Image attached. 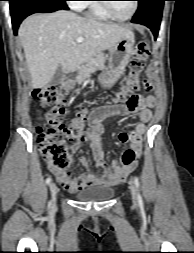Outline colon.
Wrapping results in <instances>:
<instances>
[{"instance_id": "obj_1", "label": "colon", "mask_w": 194, "mask_h": 253, "mask_svg": "<svg viewBox=\"0 0 194 253\" xmlns=\"http://www.w3.org/2000/svg\"><path fill=\"white\" fill-rule=\"evenodd\" d=\"M150 44L142 41L136 46L135 55L130 63V75L125 87L117 94V102H126V97H131L138 87V75L144 68L147 58L150 56ZM33 97L46 109L41 124L37 127V142L43 159L49 166L64 171L70 163V155L67 149V141L79 138L83 133V125L86 120L85 110L76 114L75 119L69 125H65L61 119L64 109L61 93L57 87L48 86L37 89ZM135 160V153L127 150L122 157L125 165Z\"/></svg>"}]
</instances>
